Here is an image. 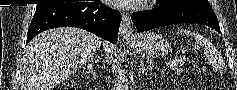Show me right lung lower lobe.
I'll use <instances>...</instances> for the list:
<instances>
[{
  "instance_id": "right-lung-lower-lobe-1",
  "label": "right lung lower lobe",
  "mask_w": 237,
  "mask_h": 90,
  "mask_svg": "<svg viewBox=\"0 0 237 90\" xmlns=\"http://www.w3.org/2000/svg\"><path fill=\"white\" fill-rule=\"evenodd\" d=\"M121 20L118 11L100 1L43 4L36 7L27 33L26 45L38 33L63 26L79 27L107 41L117 43Z\"/></svg>"
}]
</instances>
